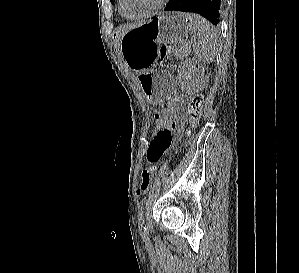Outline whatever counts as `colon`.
<instances>
[{"label": "colon", "instance_id": "obj_1", "mask_svg": "<svg viewBox=\"0 0 299 273\" xmlns=\"http://www.w3.org/2000/svg\"><path fill=\"white\" fill-rule=\"evenodd\" d=\"M169 51H170L169 46L166 45L162 46L161 56L162 57L166 56ZM203 104H204V99L201 95L193 96L188 103L187 114L190 119L191 125L193 127L197 125V123L199 122L202 116ZM176 113H177V107L173 103L169 106L164 107L160 111L156 112L154 114V132L167 128L174 120ZM157 173H158L157 165H153L142 171L141 181L138 188L139 194H143L147 192Z\"/></svg>", "mask_w": 299, "mask_h": 273}]
</instances>
